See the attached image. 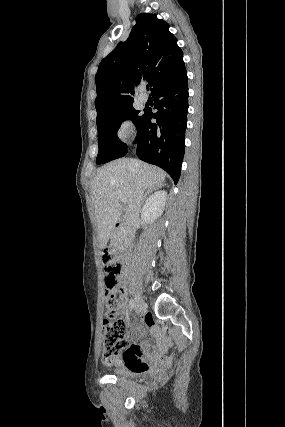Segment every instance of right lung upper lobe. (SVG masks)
Here are the masks:
<instances>
[{
    "label": "right lung upper lobe",
    "mask_w": 285,
    "mask_h": 427,
    "mask_svg": "<svg viewBox=\"0 0 285 427\" xmlns=\"http://www.w3.org/2000/svg\"><path fill=\"white\" fill-rule=\"evenodd\" d=\"M183 53L169 25L155 14L137 16L129 38L99 64L95 76L96 123L131 106L134 85L147 79L153 92L185 71Z\"/></svg>",
    "instance_id": "cb5924a9"
}]
</instances>
